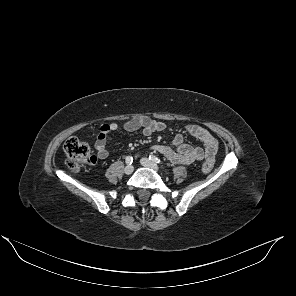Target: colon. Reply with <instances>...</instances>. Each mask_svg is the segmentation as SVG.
I'll list each match as a JSON object with an SVG mask.
<instances>
[{"mask_svg": "<svg viewBox=\"0 0 296 296\" xmlns=\"http://www.w3.org/2000/svg\"><path fill=\"white\" fill-rule=\"evenodd\" d=\"M64 151L67 158L66 163L73 170H79L86 164L96 161L91 145L77 137H71L65 142ZM213 166L214 160L207 159L202 166V170L208 173Z\"/></svg>", "mask_w": 296, "mask_h": 296, "instance_id": "1", "label": "colon"}]
</instances>
